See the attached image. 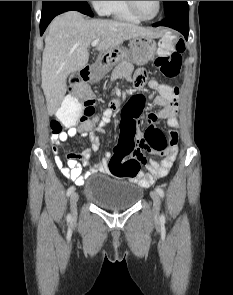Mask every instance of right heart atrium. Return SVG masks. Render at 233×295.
<instances>
[{
    "label": "right heart atrium",
    "mask_w": 233,
    "mask_h": 295,
    "mask_svg": "<svg viewBox=\"0 0 233 295\" xmlns=\"http://www.w3.org/2000/svg\"><path fill=\"white\" fill-rule=\"evenodd\" d=\"M94 10L100 15H106L109 12L110 1H89Z\"/></svg>",
    "instance_id": "obj_1"
}]
</instances>
